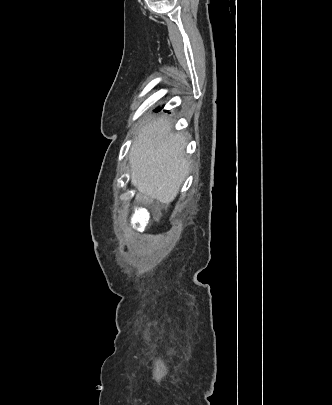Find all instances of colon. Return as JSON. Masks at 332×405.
<instances>
[{
  "instance_id": "colon-1",
  "label": "colon",
  "mask_w": 332,
  "mask_h": 405,
  "mask_svg": "<svg viewBox=\"0 0 332 405\" xmlns=\"http://www.w3.org/2000/svg\"><path fill=\"white\" fill-rule=\"evenodd\" d=\"M143 203H149L150 200L147 197H142L141 198ZM151 221V216L146 210L142 207L136 208V221H135V226L143 230L145 229Z\"/></svg>"
}]
</instances>
